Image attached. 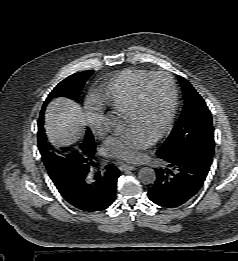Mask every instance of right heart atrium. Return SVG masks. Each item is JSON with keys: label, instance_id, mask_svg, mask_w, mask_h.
<instances>
[{"label": "right heart atrium", "instance_id": "1", "mask_svg": "<svg viewBox=\"0 0 238 261\" xmlns=\"http://www.w3.org/2000/svg\"><path fill=\"white\" fill-rule=\"evenodd\" d=\"M87 119L89 126L96 137H103L107 133L105 117L102 112L94 108H89L87 111Z\"/></svg>", "mask_w": 238, "mask_h": 261}]
</instances>
